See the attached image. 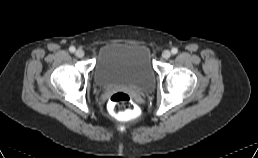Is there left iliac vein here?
I'll use <instances>...</instances> for the list:
<instances>
[{
	"label": "left iliac vein",
	"mask_w": 258,
	"mask_h": 158,
	"mask_svg": "<svg viewBox=\"0 0 258 158\" xmlns=\"http://www.w3.org/2000/svg\"><path fill=\"white\" fill-rule=\"evenodd\" d=\"M171 56V52L169 50H164L163 53H162V57L164 59H169Z\"/></svg>",
	"instance_id": "left-iliac-vein-1"
}]
</instances>
